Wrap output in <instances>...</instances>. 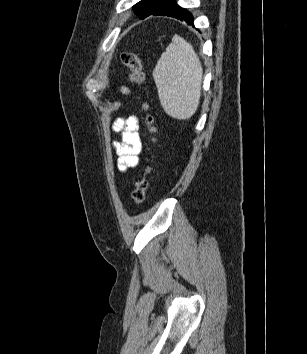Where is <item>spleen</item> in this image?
Returning a JSON list of instances; mask_svg holds the SVG:
<instances>
[{
	"label": "spleen",
	"mask_w": 307,
	"mask_h": 354,
	"mask_svg": "<svg viewBox=\"0 0 307 354\" xmlns=\"http://www.w3.org/2000/svg\"><path fill=\"white\" fill-rule=\"evenodd\" d=\"M202 76V65L192 45L174 35L153 70L160 103L169 116L185 120L194 115L201 96Z\"/></svg>",
	"instance_id": "1"
}]
</instances>
